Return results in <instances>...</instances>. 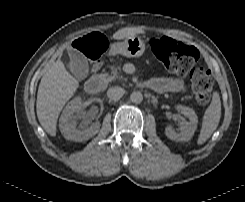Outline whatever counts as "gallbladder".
Listing matches in <instances>:
<instances>
[{
  "label": "gallbladder",
  "instance_id": "1",
  "mask_svg": "<svg viewBox=\"0 0 245 202\" xmlns=\"http://www.w3.org/2000/svg\"><path fill=\"white\" fill-rule=\"evenodd\" d=\"M69 54V69L78 80H84L89 74L88 59L78 50L70 49Z\"/></svg>",
  "mask_w": 245,
  "mask_h": 202
}]
</instances>
